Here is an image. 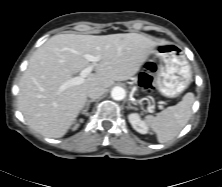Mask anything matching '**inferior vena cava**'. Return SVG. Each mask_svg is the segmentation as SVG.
<instances>
[{
	"mask_svg": "<svg viewBox=\"0 0 222 187\" xmlns=\"http://www.w3.org/2000/svg\"><path fill=\"white\" fill-rule=\"evenodd\" d=\"M105 92V88L101 86H93L88 89L87 96L91 99H97L101 97Z\"/></svg>",
	"mask_w": 222,
	"mask_h": 187,
	"instance_id": "1",
	"label": "inferior vena cava"
}]
</instances>
